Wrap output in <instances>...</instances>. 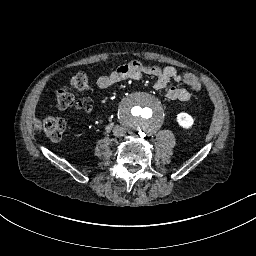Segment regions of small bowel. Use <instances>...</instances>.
<instances>
[{"mask_svg": "<svg viewBox=\"0 0 256 256\" xmlns=\"http://www.w3.org/2000/svg\"><path fill=\"white\" fill-rule=\"evenodd\" d=\"M142 74L156 77L154 88L158 91L165 90L169 82L176 83L175 86L166 90V97L169 100L185 102L190 99L189 91L183 86V77L176 68L145 65L139 61L125 63L109 73L100 75L97 79V86L101 89H107L128 78L138 80Z\"/></svg>", "mask_w": 256, "mask_h": 256, "instance_id": "small-bowel-1", "label": "small bowel"}]
</instances>
